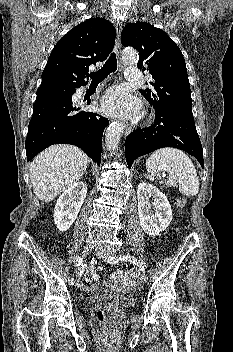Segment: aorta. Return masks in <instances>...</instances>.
<instances>
[{"instance_id":"762f6f07","label":"aorta","mask_w":233,"mask_h":352,"mask_svg":"<svg viewBox=\"0 0 233 352\" xmlns=\"http://www.w3.org/2000/svg\"><path fill=\"white\" fill-rule=\"evenodd\" d=\"M122 58L124 61L135 63L138 61V53L134 49H125ZM124 132V125L121 122H113L107 128L105 134L106 145L109 150L115 151L118 148L120 138Z\"/></svg>"}]
</instances>
